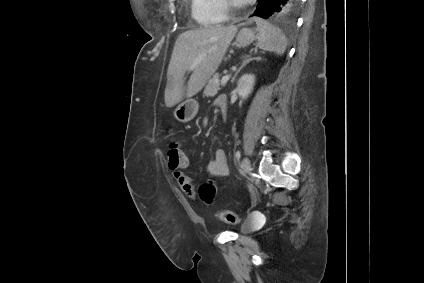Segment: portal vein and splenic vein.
<instances>
[{"label": "portal vein and splenic vein", "instance_id": "portal-vein-and-splenic-vein-1", "mask_svg": "<svg viewBox=\"0 0 424 283\" xmlns=\"http://www.w3.org/2000/svg\"><path fill=\"white\" fill-rule=\"evenodd\" d=\"M230 78H231V75L223 76L222 79H221V84L225 85L229 81Z\"/></svg>", "mask_w": 424, "mask_h": 283}]
</instances>
